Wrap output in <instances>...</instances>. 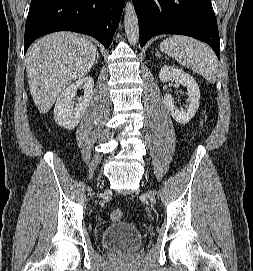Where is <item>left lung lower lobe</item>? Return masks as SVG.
<instances>
[{
    "mask_svg": "<svg viewBox=\"0 0 253 271\" xmlns=\"http://www.w3.org/2000/svg\"><path fill=\"white\" fill-rule=\"evenodd\" d=\"M140 46L160 34H182L209 44L220 60L219 33L211 0H133Z\"/></svg>",
    "mask_w": 253,
    "mask_h": 271,
    "instance_id": "0a47b994",
    "label": "left lung lower lobe"
}]
</instances>
